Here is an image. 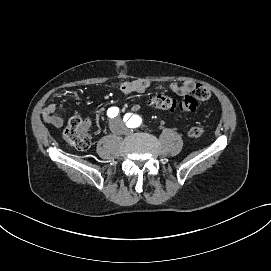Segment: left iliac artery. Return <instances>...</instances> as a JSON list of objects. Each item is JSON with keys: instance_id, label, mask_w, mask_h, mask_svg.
<instances>
[{"instance_id": "44dca946", "label": "left iliac artery", "mask_w": 271, "mask_h": 271, "mask_svg": "<svg viewBox=\"0 0 271 271\" xmlns=\"http://www.w3.org/2000/svg\"><path fill=\"white\" fill-rule=\"evenodd\" d=\"M130 117V115L128 116V114H126L125 116H124V119H127V118H129ZM138 118V116H136V115H133L132 117H131V119H130V124L129 125H127L129 128H135V127H137L139 124H140V120L139 119H137Z\"/></svg>"}]
</instances>
